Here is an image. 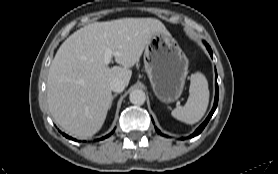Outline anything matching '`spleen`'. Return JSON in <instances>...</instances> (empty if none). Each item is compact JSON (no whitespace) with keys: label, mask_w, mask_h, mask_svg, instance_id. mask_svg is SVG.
<instances>
[{"label":"spleen","mask_w":278,"mask_h":174,"mask_svg":"<svg viewBox=\"0 0 278 174\" xmlns=\"http://www.w3.org/2000/svg\"><path fill=\"white\" fill-rule=\"evenodd\" d=\"M209 103V89L206 77L194 73L190 78L189 97L183 107H176L172 116L186 124L198 122L205 114Z\"/></svg>","instance_id":"spleen-1"}]
</instances>
